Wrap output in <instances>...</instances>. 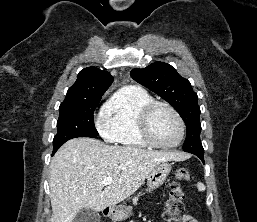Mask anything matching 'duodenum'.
<instances>
[{"instance_id":"obj_1","label":"duodenum","mask_w":257,"mask_h":222,"mask_svg":"<svg viewBox=\"0 0 257 222\" xmlns=\"http://www.w3.org/2000/svg\"><path fill=\"white\" fill-rule=\"evenodd\" d=\"M105 212H106V214H108V212H109V209H106V210H105Z\"/></svg>"}]
</instances>
